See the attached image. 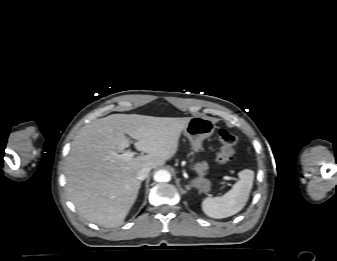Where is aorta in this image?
Returning <instances> with one entry per match:
<instances>
[{
    "mask_svg": "<svg viewBox=\"0 0 337 261\" xmlns=\"http://www.w3.org/2000/svg\"><path fill=\"white\" fill-rule=\"evenodd\" d=\"M171 179V175L168 171L166 170H159L154 174V180L156 182H169Z\"/></svg>",
    "mask_w": 337,
    "mask_h": 261,
    "instance_id": "aorta-1",
    "label": "aorta"
}]
</instances>
